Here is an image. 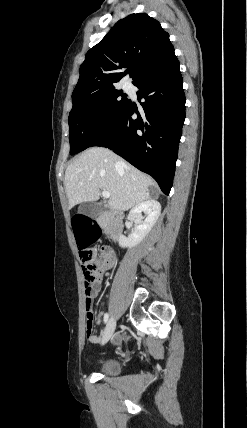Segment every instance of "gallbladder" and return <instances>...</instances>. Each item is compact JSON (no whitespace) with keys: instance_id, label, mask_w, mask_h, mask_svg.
<instances>
[{"instance_id":"gallbladder-1","label":"gallbladder","mask_w":247,"mask_h":428,"mask_svg":"<svg viewBox=\"0 0 247 428\" xmlns=\"http://www.w3.org/2000/svg\"><path fill=\"white\" fill-rule=\"evenodd\" d=\"M105 209V205L95 202H83L78 208V213L90 218H96Z\"/></svg>"}]
</instances>
